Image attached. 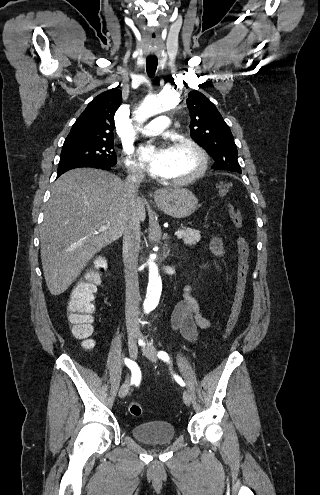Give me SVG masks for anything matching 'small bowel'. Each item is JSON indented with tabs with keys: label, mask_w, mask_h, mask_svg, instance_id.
Listing matches in <instances>:
<instances>
[{
	"label": "small bowel",
	"mask_w": 320,
	"mask_h": 495,
	"mask_svg": "<svg viewBox=\"0 0 320 495\" xmlns=\"http://www.w3.org/2000/svg\"><path fill=\"white\" fill-rule=\"evenodd\" d=\"M211 252L215 259L226 254L222 239L213 235L210 241ZM171 326L180 331L182 336L191 343H197L198 330L210 329L213 322L200 311L198 301L191 295V286L184 288L183 299L175 306L171 316Z\"/></svg>",
	"instance_id": "c3829d8e"
}]
</instances>
